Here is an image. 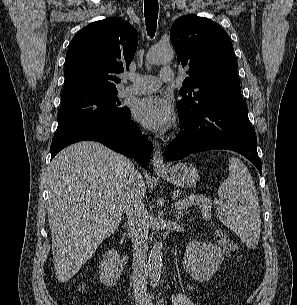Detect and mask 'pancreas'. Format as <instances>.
<instances>
[{"label": "pancreas", "mask_w": 297, "mask_h": 305, "mask_svg": "<svg viewBox=\"0 0 297 305\" xmlns=\"http://www.w3.org/2000/svg\"><path fill=\"white\" fill-rule=\"evenodd\" d=\"M211 202L205 198V197H201V196H193V201L192 202H187L186 204H183L182 207L183 208H188L192 205H198L201 213L203 214L204 218H209L210 217V211H211V206H210Z\"/></svg>", "instance_id": "cf45deb5"}]
</instances>
